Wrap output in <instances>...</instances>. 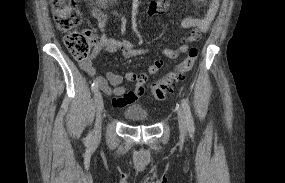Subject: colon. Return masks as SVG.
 Returning <instances> with one entry per match:
<instances>
[{
	"label": "colon",
	"instance_id": "colon-1",
	"mask_svg": "<svg viewBox=\"0 0 285 183\" xmlns=\"http://www.w3.org/2000/svg\"><path fill=\"white\" fill-rule=\"evenodd\" d=\"M51 10L56 27L66 32L64 44L70 54L78 60H87L93 48L100 42L99 37L88 29L79 30L82 14L75 0H50ZM198 57V49H189L186 58L164 77L155 81L151 86V96L155 100L166 99L173 88L192 69Z\"/></svg>",
	"mask_w": 285,
	"mask_h": 183
}]
</instances>
